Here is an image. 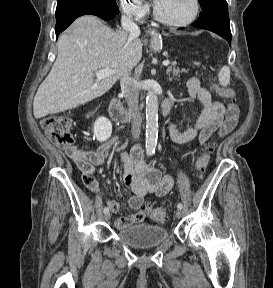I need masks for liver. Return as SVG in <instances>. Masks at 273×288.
<instances>
[{
	"instance_id": "1",
	"label": "liver",
	"mask_w": 273,
	"mask_h": 288,
	"mask_svg": "<svg viewBox=\"0 0 273 288\" xmlns=\"http://www.w3.org/2000/svg\"><path fill=\"white\" fill-rule=\"evenodd\" d=\"M57 45L56 61L34 97L36 119L102 96L142 58V43L137 37L124 30L114 31L91 15L79 17L71 33L61 35ZM102 69L114 73L94 82V72Z\"/></svg>"
}]
</instances>
